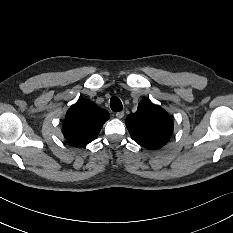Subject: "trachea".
Wrapping results in <instances>:
<instances>
[{
    "label": "trachea",
    "instance_id": "obj_1",
    "mask_svg": "<svg viewBox=\"0 0 233 233\" xmlns=\"http://www.w3.org/2000/svg\"><path fill=\"white\" fill-rule=\"evenodd\" d=\"M110 107L113 112H120L123 109L121 101L117 97H112Z\"/></svg>",
    "mask_w": 233,
    "mask_h": 233
}]
</instances>
